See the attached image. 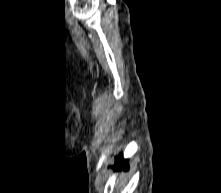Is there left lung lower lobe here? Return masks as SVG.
Here are the masks:
<instances>
[{"label":"left lung lower lobe","instance_id":"1","mask_svg":"<svg viewBox=\"0 0 221 193\" xmlns=\"http://www.w3.org/2000/svg\"><path fill=\"white\" fill-rule=\"evenodd\" d=\"M116 158L118 161L116 162L114 168H122V169H127L128 168V160H124L122 153L117 155Z\"/></svg>","mask_w":221,"mask_h":193}]
</instances>
